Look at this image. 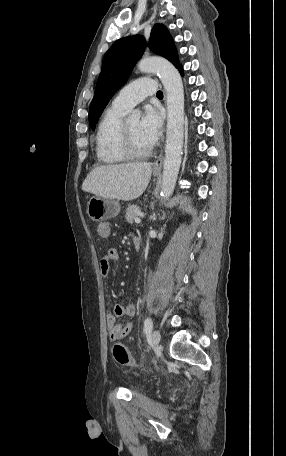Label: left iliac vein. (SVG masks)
Segmentation results:
<instances>
[{
    "label": "left iliac vein",
    "instance_id": "obj_1",
    "mask_svg": "<svg viewBox=\"0 0 286 456\" xmlns=\"http://www.w3.org/2000/svg\"><path fill=\"white\" fill-rule=\"evenodd\" d=\"M161 339L160 332L158 330H153L151 334V342L154 346H158Z\"/></svg>",
    "mask_w": 286,
    "mask_h": 456
}]
</instances>
